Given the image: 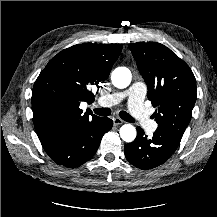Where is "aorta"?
<instances>
[{"label": "aorta", "mask_w": 217, "mask_h": 217, "mask_svg": "<svg viewBox=\"0 0 217 217\" xmlns=\"http://www.w3.org/2000/svg\"><path fill=\"white\" fill-rule=\"evenodd\" d=\"M132 80L131 71L126 67L116 68L111 75L113 85L119 89H124L129 86ZM136 128L131 124H124L120 128V137L125 142H132L136 138Z\"/></svg>", "instance_id": "762f6f07"}]
</instances>
